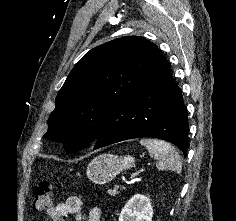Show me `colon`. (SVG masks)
<instances>
[{
	"label": "colon",
	"instance_id": "obj_1",
	"mask_svg": "<svg viewBox=\"0 0 236 221\" xmlns=\"http://www.w3.org/2000/svg\"><path fill=\"white\" fill-rule=\"evenodd\" d=\"M54 185L45 181L39 184L34 190L33 206L35 211L44 212L49 209L53 201Z\"/></svg>",
	"mask_w": 236,
	"mask_h": 221
}]
</instances>
